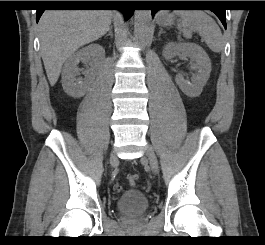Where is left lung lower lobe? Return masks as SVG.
Listing matches in <instances>:
<instances>
[{"label": "left lung lower lobe", "mask_w": 265, "mask_h": 245, "mask_svg": "<svg viewBox=\"0 0 265 245\" xmlns=\"http://www.w3.org/2000/svg\"><path fill=\"white\" fill-rule=\"evenodd\" d=\"M158 5L161 6H173V7H187V6H194L196 5V1H166V2H158ZM159 9H152V16L155 14L156 11ZM212 12H214L218 18L221 20L222 24L226 28V15H225V9L216 8L212 9Z\"/></svg>", "instance_id": "0a47b994"}]
</instances>
